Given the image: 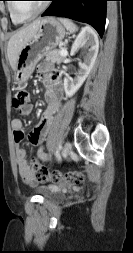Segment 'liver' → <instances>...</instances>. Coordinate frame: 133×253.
<instances>
[{
  "instance_id": "1",
  "label": "liver",
  "mask_w": 133,
  "mask_h": 253,
  "mask_svg": "<svg viewBox=\"0 0 133 253\" xmlns=\"http://www.w3.org/2000/svg\"><path fill=\"white\" fill-rule=\"evenodd\" d=\"M42 19H37L31 24L21 28L8 41L7 57L10 66L15 70L18 55L25 44L32 39L38 31Z\"/></svg>"
}]
</instances>
